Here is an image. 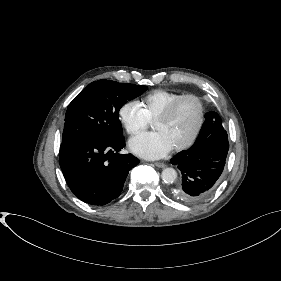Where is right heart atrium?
Instances as JSON below:
<instances>
[{
  "label": "right heart atrium",
  "instance_id": "right-heart-atrium-1",
  "mask_svg": "<svg viewBox=\"0 0 281 281\" xmlns=\"http://www.w3.org/2000/svg\"><path fill=\"white\" fill-rule=\"evenodd\" d=\"M118 118L128 134L137 135L148 127L143 109L136 101H127L118 109Z\"/></svg>",
  "mask_w": 281,
  "mask_h": 281
}]
</instances>
